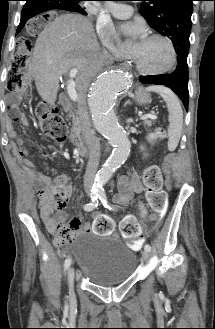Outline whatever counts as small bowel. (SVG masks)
Segmentation results:
<instances>
[{
	"label": "small bowel",
	"mask_w": 215,
	"mask_h": 329,
	"mask_svg": "<svg viewBox=\"0 0 215 329\" xmlns=\"http://www.w3.org/2000/svg\"><path fill=\"white\" fill-rule=\"evenodd\" d=\"M15 117L18 116L17 112L14 114ZM8 132L13 140V152L17 160L26 168L31 179L37 184V193L39 197V210L41 217L49 229L52 231V227L55 224H60L69 229L68 242H74L79 234H87L94 232L95 236H112V232L115 230L114 220H92L91 225L84 223L82 218H74L71 221H67V215L63 211L55 212V208L48 206L44 202L43 192L50 187L54 179L63 181L67 183L68 177L65 175H58L54 178L43 175L39 172L34 164L29 159V150L23 145V142L19 135L13 130L11 124H8ZM118 189L119 193L115 196V201L120 204L127 203V208H135L133 212L134 218H145L148 211L147 206H145V201L143 198V185L136 174L121 175L118 178ZM73 187L71 185L66 186V196L69 200L73 194ZM94 216H102L100 213H95ZM105 219L110 217L108 212L103 214ZM54 234V233H53ZM55 235V234H54ZM55 243L59 244L57 237L55 236ZM144 243V238L139 237L135 239L132 243L134 250H139Z\"/></svg>",
	"instance_id": "small-bowel-1"
}]
</instances>
